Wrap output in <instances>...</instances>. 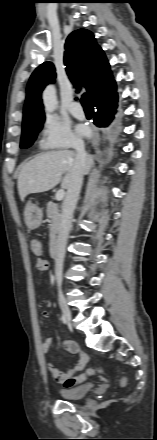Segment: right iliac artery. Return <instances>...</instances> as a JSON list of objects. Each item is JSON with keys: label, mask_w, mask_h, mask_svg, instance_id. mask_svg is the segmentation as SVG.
<instances>
[{"label": "right iliac artery", "mask_w": 157, "mask_h": 440, "mask_svg": "<svg viewBox=\"0 0 157 440\" xmlns=\"http://www.w3.org/2000/svg\"><path fill=\"white\" fill-rule=\"evenodd\" d=\"M61 321H62L64 324L67 323L66 318L64 317V315L61 316Z\"/></svg>", "instance_id": "82829eb1"}]
</instances>
